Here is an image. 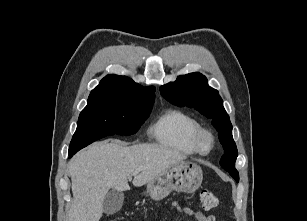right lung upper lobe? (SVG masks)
I'll list each match as a JSON object with an SVG mask.
<instances>
[{
    "label": "right lung upper lobe",
    "mask_w": 307,
    "mask_h": 221,
    "mask_svg": "<svg viewBox=\"0 0 307 221\" xmlns=\"http://www.w3.org/2000/svg\"><path fill=\"white\" fill-rule=\"evenodd\" d=\"M155 88H144L126 76L107 75L94 88L88 98V102L106 99L154 101Z\"/></svg>",
    "instance_id": "right-lung-upper-lobe-1"
}]
</instances>
